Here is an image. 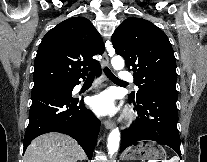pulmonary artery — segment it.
Masks as SVG:
<instances>
[{"mask_svg":"<svg viewBox=\"0 0 207 162\" xmlns=\"http://www.w3.org/2000/svg\"><path fill=\"white\" fill-rule=\"evenodd\" d=\"M120 79L124 82L127 83L132 80V75L130 73H121L120 74Z\"/></svg>","mask_w":207,"mask_h":162,"instance_id":"e3ab8cb5","label":"pulmonary artery"}]
</instances>
